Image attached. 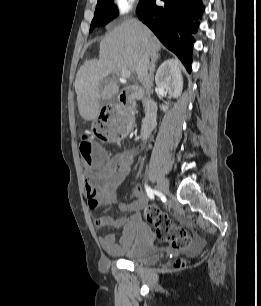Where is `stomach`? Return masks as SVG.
<instances>
[{"label": "stomach", "instance_id": "obj_1", "mask_svg": "<svg viewBox=\"0 0 261 306\" xmlns=\"http://www.w3.org/2000/svg\"><path fill=\"white\" fill-rule=\"evenodd\" d=\"M132 126H133V119L130 116H127L125 118L123 128L121 130V135L126 136L127 134H129V132L132 130Z\"/></svg>", "mask_w": 261, "mask_h": 306}]
</instances>
